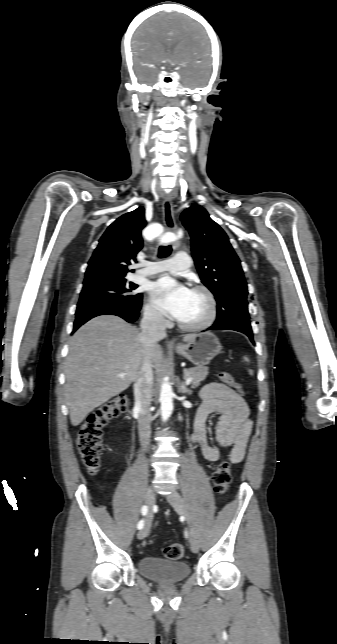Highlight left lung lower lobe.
I'll list each match as a JSON object with an SVG mask.
<instances>
[{"label":"left lung lower lobe","mask_w":337,"mask_h":644,"mask_svg":"<svg viewBox=\"0 0 337 644\" xmlns=\"http://www.w3.org/2000/svg\"><path fill=\"white\" fill-rule=\"evenodd\" d=\"M207 330H234V331H239V330H237V329H235L233 327L227 326V325H215V324L213 326H211L210 328H208ZM239 332H241V331H239ZM247 336L250 338L252 343H254L253 334H248Z\"/></svg>","instance_id":"0a47b994"}]
</instances>
